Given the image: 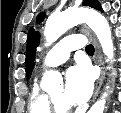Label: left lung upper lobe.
<instances>
[{
    "label": "left lung upper lobe",
    "mask_w": 121,
    "mask_h": 113,
    "mask_svg": "<svg viewBox=\"0 0 121 113\" xmlns=\"http://www.w3.org/2000/svg\"><path fill=\"white\" fill-rule=\"evenodd\" d=\"M83 5L90 6L97 10L103 11L98 0H83ZM44 20V14H38L36 18V22L40 23ZM40 36L34 28H30L28 32V39H27V50H26V75L27 78L31 77L32 70L34 68V60H35V53L36 47L39 44Z\"/></svg>",
    "instance_id": "1"
}]
</instances>
